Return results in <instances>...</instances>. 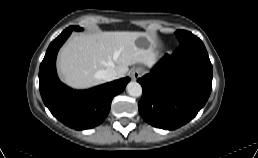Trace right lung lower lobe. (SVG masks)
<instances>
[{"mask_svg":"<svg viewBox=\"0 0 258 158\" xmlns=\"http://www.w3.org/2000/svg\"><path fill=\"white\" fill-rule=\"evenodd\" d=\"M72 30L66 28L49 45L39 69V89L50 112L66 126L84 130L99 125L108 115L113 97L121 93L129 77L89 90L76 91L61 83L56 74V56Z\"/></svg>","mask_w":258,"mask_h":158,"instance_id":"obj_1","label":"right lung lower lobe"}]
</instances>
